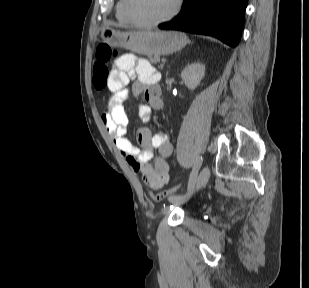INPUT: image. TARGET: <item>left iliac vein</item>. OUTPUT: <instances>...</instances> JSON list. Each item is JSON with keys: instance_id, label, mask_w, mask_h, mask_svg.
<instances>
[{"instance_id": "1", "label": "left iliac vein", "mask_w": 309, "mask_h": 288, "mask_svg": "<svg viewBox=\"0 0 309 288\" xmlns=\"http://www.w3.org/2000/svg\"><path fill=\"white\" fill-rule=\"evenodd\" d=\"M209 177H210V170L209 168L206 166L204 167L199 175H198V178H197V182L194 186V189L191 191L190 194H185L186 196L185 197H181L179 199H176V200H172L170 201L172 204L174 205H177V204H180L188 199L191 198V194L195 191V190H200L202 189L203 187H205V185L207 184L208 180H209Z\"/></svg>"}]
</instances>
